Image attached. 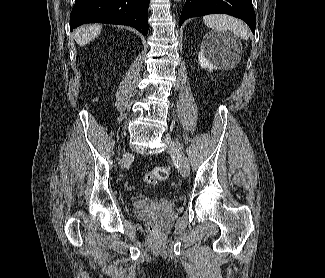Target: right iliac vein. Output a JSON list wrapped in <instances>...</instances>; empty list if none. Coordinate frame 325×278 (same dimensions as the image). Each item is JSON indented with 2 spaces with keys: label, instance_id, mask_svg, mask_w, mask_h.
Listing matches in <instances>:
<instances>
[{
  "label": "right iliac vein",
  "instance_id": "right-iliac-vein-1",
  "mask_svg": "<svg viewBox=\"0 0 325 278\" xmlns=\"http://www.w3.org/2000/svg\"><path fill=\"white\" fill-rule=\"evenodd\" d=\"M129 156H130V153H129V152L124 153V155H123V159H124V161H125Z\"/></svg>",
  "mask_w": 325,
  "mask_h": 278
}]
</instances>
